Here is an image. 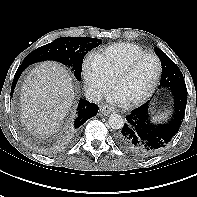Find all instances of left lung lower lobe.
<instances>
[{"label":"left lung lower lobe","instance_id":"left-lung-lower-lobe-1","mask_svg":"<svg viewBox=\"0 0 197 197\" xmlns=\"http://www.w3.org/2000/svg\"><path fill=\"white\" fill-rule=\"evenodd\" d=\"M174 109L165 123L153 122L149 114V101L126 116V122L116 136L117 144L137 158H148L162 151L179 131L185 115L187 88L172 89Z\"/></svg>","mask_w":197,"mask_h":197}]
</instances>
